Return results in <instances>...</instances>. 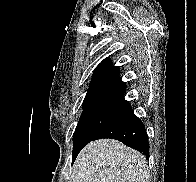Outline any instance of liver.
<instances>
[{"instance_id": "1", "label": "liver", "mask_w": 196, "mask_h": 182, "mask_svg": "<svg viewBox=\"0 0 196 182\" xmlns=\"http://www.w3.org/2000/svg\"><path fill=\"white\" fill-rule=\"evenodd\" d=\"M146 160L117 140L90 142L76 158L72 182H149Z\"/></svg>"}]
</instances>
